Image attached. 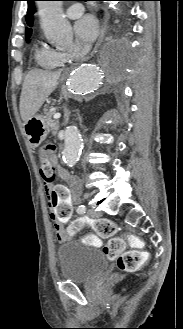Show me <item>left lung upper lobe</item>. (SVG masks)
Instances as JSON below:
<instances>
[{"instance_id":"left-lung-upper-lobe-1","label":"left lung upper lobe","mask_w":183,"mask_h":329,"mask_svg":"<svg viewBox=\"0 0 183 329\" xmlns=\"http://www.w3.org/2000/svg\"><path fill=\"white\" fill-rule=\"evenodd\" d=\"M28 2V11L26 15V22L29 26H32L33 24V14L35 12V6H34V1L36 0H26ZM32 34V29L26 28V41L29 42L30 37Z\"/></svg>"}]
</instances>
